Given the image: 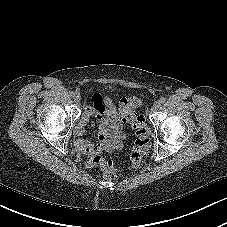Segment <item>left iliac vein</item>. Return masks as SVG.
Returning a JSON list of instances; mask_svg holds the SVG:
<instances>
[{
	"instance_id": "1",
	"label": "left iliac vein",
	"mask_w": 227,
	"mask_h": 227,
	"mask_svg": "<svg viewBox=\"0 0 227 227\" xmlns=\"http://www.w3.org/2000/svg\"><path fill=\"white\" fill-rule=\"evenodd\" d=\"M160 107V102L156 101L152 105V110L155 111Z\"/></svg>"
}]
</instances>
